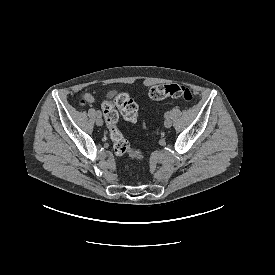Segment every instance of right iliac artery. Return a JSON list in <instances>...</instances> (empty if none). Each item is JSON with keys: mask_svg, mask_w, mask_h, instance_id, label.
I'll use <instances>...</instances> for the list:
<instances>
[{"mask_svg": "<svg viewBox=\"0 0 275 275\" xmlns=\"http://www.w3.org/2000/svg\"><path fill=\"white\" fill-rule=\"evenodd\" d=\"M95 115H96V116H102V114H101L100 111H96V112H95Z\"/></svg>", "mask_w": 275, "mask_h": 275, "instance_id": "right-iliac-artery-1", "label": "right iliac artery"}]
</instances>
